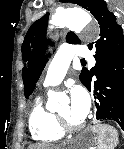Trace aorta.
<instances>
[{"instance_id": "aorta-1", "label": "aorta", "mask_w": 124, "mask_h": 149, "mask_svg": "<svg viewBox=\"0 0 124 149\" xmlns=\"http://www.w3.org/2000/svg\"><path fill=\"white\" fill-rule=\"evenodd\" d=\"M92 21L89 13L82 9L57 10L50 20L51 28L68 27L73 31H81ZM59 94L50 91L48 106L54 108L57 105Z\"/></svg>"}]
</instances>
